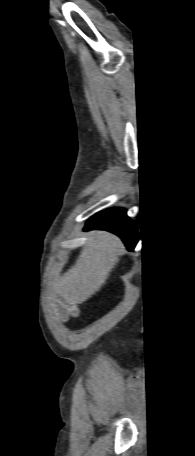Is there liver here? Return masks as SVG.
I'll return each mask as SVG.
<instances>
[{
    "mask_svg": "<svg viewBox=\"0 0 195 456\" xmlns=\"http://www.w3.org/2000/svg\"><path fill=\"white\" fill-rule=\"evenodd\" d=\"M121 240L108 232L92 231L76 263L55 283V289L67 301L81 304L101 289L119 262Z\"/></svg>",
    "mask_w": 195,
    "mask_h": 456,
    "instance_id": "liver-1",
    "label": "liver"
}]
</instances>
